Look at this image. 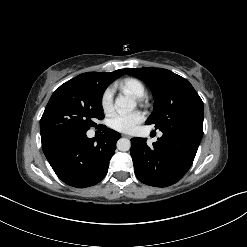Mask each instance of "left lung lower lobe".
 I'll list each match as a JSON object with an SVG mask.
<instances>
[{"label": "left lung lower lobe", "instance_id": "1", "mask_svg": "<svg viewBox=\"0 0 247 247\" xmlns=\"http://www.w3.org/2000/svg\"><path fill=\"white\" fill-rule=\"evenodd\" d=\"M162 132L152 147L145 138L131 139L135 174L142 183L155 187L170 186L186 174L202 139L181 126Z\"/></svg>", "mask_w": 247, "mask_h": 247}]
</instances>
